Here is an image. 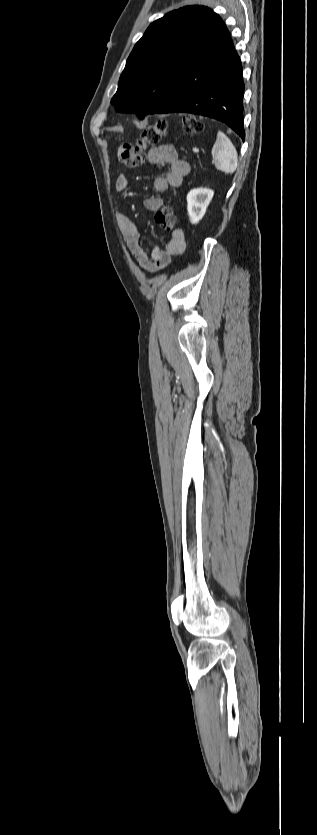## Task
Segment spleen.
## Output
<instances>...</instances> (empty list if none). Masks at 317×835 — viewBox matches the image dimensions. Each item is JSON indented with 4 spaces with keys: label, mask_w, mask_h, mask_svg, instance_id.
<instances>
[{
    "label": "spleen",
    "mask_w": 317,
    "mask_h": 835,
    "mask_svg": "<svg viewBox=\"0 0 317 835\" xmlns=\"http://www.w3.org/2000/svg\"><path fill=\"white\" fill-rule=\"evenodd\" d=\"M212 158L217 170L225 174H232L238 165V155L231 140L221 131L217 133V139L212 147Z\"/></svg>",
    "instance_id": "3e777b00"
}]
</instances>
